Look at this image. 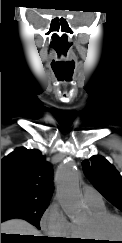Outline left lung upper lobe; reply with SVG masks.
Instances as JSON below:
<instances>
[{
    "label": "left lung upper lobe",
    "instance_id": "5c2ea615",
    "mask_svg": "<svg viewBox=\"0 0 122 243\" xmlns=\"http://www.w3.org/2000/svg\"><path fill=\"white\" fill-rule=\"evenodd\" d=\"M82 167L93 186L122 211V177L115 167L102 156L84 160Z\"/></svg>",
    "mask_w": 122,
    "mask_h": 243
}]
</instances>
